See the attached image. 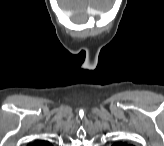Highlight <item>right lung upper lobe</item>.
Wrapping results in <instances>:
<instances>
[{"mask_svg":"<svg viewBox=\"0 0 164 146\" xmlns=\"http://www.w3.org/2000/svg\"><path fill=\"white\" fill-rule=\"evenodd\" d=\"M46 145H49V143L46 141H42L41 143L39 141H36L34 143V146H46Z\"/></svg>","mask_w":164,"mask_h":146,"instance_id":"cb5924a9","label":"right lung upper lobe"}]
</instances>
